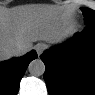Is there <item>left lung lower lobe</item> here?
Instances as JSON below:
<instances>
[{
    "mask_svg": "<svg viewBox=\"0 0 95 95\" xmlns=\"http://www.w3.org/2000/svg\"><path fill=\"white\" fill-rule=\"evenodd\" d=\"M40 57L50 95H95V23Z\"/></svg>",
    "mask_w": 95,
    "mask_h": 95,
    "instance_id": "left-lung-lower-lobe-1",
    "label": "left lung lower lobe"
}]
</instances>
